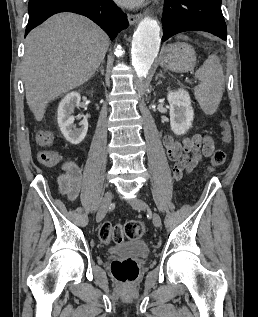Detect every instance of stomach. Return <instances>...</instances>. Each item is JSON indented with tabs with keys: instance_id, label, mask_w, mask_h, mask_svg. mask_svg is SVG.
<instances>
[{
	"instance_id": "obj_1",
	"label": "stomach",
	"mask_w": 258,
	"mask_h": 317,
	"mask_svg": "<svg viewBox=\"0 0 258 317\" xmlns=\"http://www.w3.org/2000/svg\"><path fill=\"white\" fill-rule=\"evenodd\" d=\"M160 62L173 72H188L196 62V52L188 42H173L163 46L160 52Z\"/></svg>"
}]
</instances>
